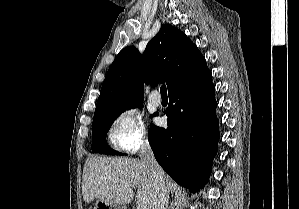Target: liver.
<instances>
[{
  "label": "liver",
  "instance_id": "obj_1",
  "mask_svg": "<svg viewBox=\"0 0 299 209\" xmlns=\"http://www.w3.org/2000/svg\"><path fill=\"white\" fill-rule=\"evenodd\" d=\"M165 184L168 193L175 190L174 182L166 174ZM133 187H137V209H153L157 190L142 161L98 156L86 160L82 176V194L86 203L98 198L123 206L133 200Z\"/></svg>",
  "mask_w": 299,
  "mask_h": 209
}]
</instances>
